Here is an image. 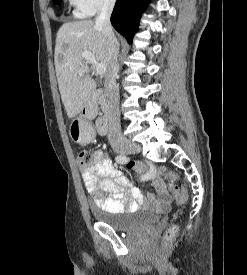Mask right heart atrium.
<instances>
[{
	"label": "right heart atrium",
	"instance_id": "d8ad5b80",
	"mask_svg": "<svg viewBox=\"0 0 247 275\" xmlns=\"http://www.w3.org/2000/svg\"><path fill=\"white\" fill-rule=\"evenodd\" d=\"M72 3L77 16L87 17L97 11L112 8L116 0H72Z\"/></svg>",
	"mask_w": 247,
	"mask_h": 275
}]
</instances>
